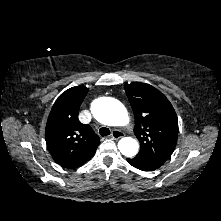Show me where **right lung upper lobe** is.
<instances>
[{"label":"right lung upper lobe","instance_id":"1","mask_svg":"<svg viewBox=\"0 0 221 221\" xmlns=\"http://www.w3.org/2000/svg\"><path fill=\"white\" fill-rule=\"evenodd\" d=\"M84 86L72 87L55 101L46 124V144L53 159L66 168L83 165L95 154L100 138L78 119L87 95Z\"/></svg>","mask_w":221,"mask_h":221}]
</instances>
